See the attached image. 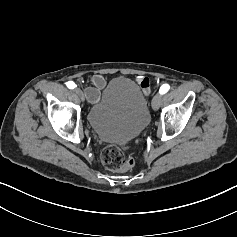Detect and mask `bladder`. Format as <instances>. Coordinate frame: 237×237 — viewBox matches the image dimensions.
Segmentation results:
<instances>
[{
  "label": "bladder",
  "mask_w": 237,
  "mask_h": 237,
  "mask_svg": "<svg viewBox=\"0 0 237 237\" xmlns=\"http://www.w3.org/2000/svg\"><path fill=\"white\" fill-rule=\"evenodd\" d=\"M87 118L101 140L123 144L147 126L150 119L147 98L133 80L114 78L103 91L100 101L91 106Z\"/></svg>",
  "instance_id": "31cf9c89"
}]
</instances>
